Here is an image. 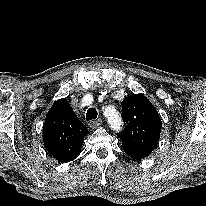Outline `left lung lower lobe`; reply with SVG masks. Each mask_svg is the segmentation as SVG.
Instances as JSON below:
<instances>
[{
  "mask_svg": "<svg viewBox=\"0 0 206 206\" xmlns=\"http://www.w3.org/2000/svg\"><path fill=\"white\" fill-rule=\"evenodd\" d=\"M126 153L132 157L133 159H142L146 156H148L146 153H143V152H136V151H126Z\"/></svg>",
  "mask_w": 206,
  "mask_h": 206,
  "instance_id": "1",
  "label": "left lung lower lobe"
}]
</instances>
